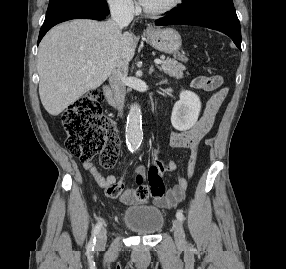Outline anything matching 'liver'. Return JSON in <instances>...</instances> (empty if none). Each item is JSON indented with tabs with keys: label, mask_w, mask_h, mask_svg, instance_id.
<instances>
[{
	"label": "liver",
	"mask_w": 286,
	"mask_h": 269,
	"mask_svg": "<svg viewBox=\"0 0 286 269\" xmlns=\"http://www.w3.org/2000/svg\"><path fill=\"white\" fill-rule=\"evenodd\" d=\"M135 47L133 35L121 33L112 20L75 19L52 28L42 39L37 58L45 110L57 116L102 85L120 62L133 59Z\"/></svg>",
	"instance_id": "liver-1"
}]
</instances>
